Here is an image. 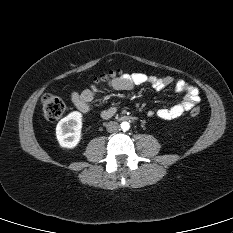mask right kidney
<instances>
[{"label":"right kidney","instance_id":"obj_1","mask_svg":"<svg viewBox=\"0 0 233 233\" xmlns=\"http://www.w3.org/2000/svg\"><path fill=\"white\" fill-rule=\"evenodd\" d=\"M82 114L73 111L56 126L57 140L62 148L73 149L81 140Z\"/></svg>","mask_w":233,"mask_h":233}]
</instances>
